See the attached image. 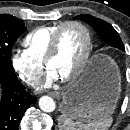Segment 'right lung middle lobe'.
<instances>
[{"mask_svg":"<svg viewBox=\"0 0 130 130\" xmlns=\"http://www.w3.org/2000/svg\"><path fill=\"white\" fill-rule=\"evenodd\" d=\"M26 29L22 20L9 14H0V66L14 71L11 62V48Z\"/></svg>","mask_w":130,"mask_h":130,"instance_id":"dd1d6c3e","label":"right lung middle lobe"}]
</instances>
